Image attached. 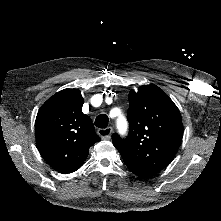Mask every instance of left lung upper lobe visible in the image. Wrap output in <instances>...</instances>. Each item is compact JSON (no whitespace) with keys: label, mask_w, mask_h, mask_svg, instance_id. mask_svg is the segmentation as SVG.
<instances>
[{"label":"left lung upper lobe","mask_w":221,"mask_h":221,"mask_svg":"<svg viewBox=\"0 0 221 221\" xmlns=\"http://www.w3.org/2000/svg\"><path fill=\"white\" fill-rule=\"evenodd\" d=\"M129 106V135L122 139L114 133L112 142L127 167L148 178L172 161L183 136L181 115L174 102L154 84L130 91Z\"/></svg>","instance_id":"1"}]
</instances>
